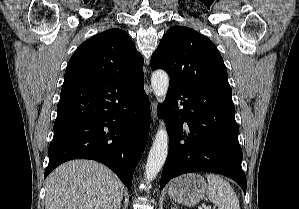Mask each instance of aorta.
Wrapping results in <instances>:
<instances>
[{"label": "aorta", "mask_w": 299, "mask_h": 209, "mask_svg": "<svg viewBox=\"0 0 299 209\" xmlns=\"http://www.w3.org/2000/svg\"><path fill=\"white\" fill-rule=\"evenodd\" d=\"M151 86L154 95L160 103H163L169 86V76L164 70H156L151 76ZM168 133L166 128L160 127L156 133L150 149L146 167L145 178L152 181L162 169L168 155Z\"/></svg>", "instance_id": "obj_1"}]
</instances>
